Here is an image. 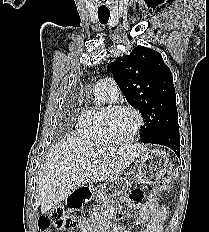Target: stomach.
<instances>
[{"label": "stomach", "mask_w": 209, "mask_h": 232, "mask_svg": "<svg viewBox=\"0 0 209 232\" xmlns=\"http://www.w3.org/2000/svg\"><path fill=\"white\" fill-rule=\"evenodd\" d=\"M169 172V158L165 151L153 149L141 155L138 170L127 171L132 178H117V182H107L106 186H92L90 202L96 199H118L120 191H126L131 183L154 184Z\"/></svg>", "instance_id": "stomach-1"}]
</instances>
